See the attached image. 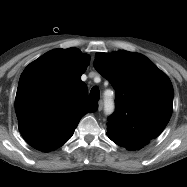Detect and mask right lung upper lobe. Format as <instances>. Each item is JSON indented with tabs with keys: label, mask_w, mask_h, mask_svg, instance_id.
Listing matches in <instances>:
<instances>
[{
	"label": "right lung upper lobe",
	"mask_w": 187,
	"mask_h": 187,
	"mask_svg": "<svg viewBox=\"0 0 187 187\" xmlns=\"http://www.w3.org/2000/svg\"><path fill=\"white\" fill-rule=\"evenodd\" d=\"M88 63L89 56L76 48L55 49L25 68L15 109L19 130L29 145L44 152L62 146L80 119L97 110L81 80Z\"/></svg>",
	"instance_id": "cb5924a9"
}]
</instances>
